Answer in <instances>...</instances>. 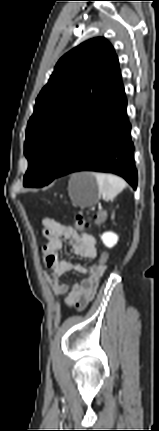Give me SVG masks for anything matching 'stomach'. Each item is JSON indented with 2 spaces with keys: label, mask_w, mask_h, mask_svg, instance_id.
<instances>
[{
  "label": "stomach",
  "mask_w": 159,
  "mask_h": 431,
  "mask_svg": "<svg viewBox=\"0 0 159 431\" xmlns=\"http://www.w3.org/2000/svg\"><path fill=\"white\" fill-rule=\"evenodd\" d=\"M70 197L80 207L93 206L99 201L98 183L90 172L74 174L69 185Z\"/></svg>",
  "instance_id": "obj_1"
}]
</instances>
